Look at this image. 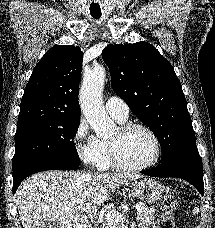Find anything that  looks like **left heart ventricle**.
Instances as JSON below:
<instances>
[{"label":"left heart ventricle","instance_id":"1","mask_svg":"<svg viewBox=\"0 0 215 228\" xmlns=\"http://www.w3.org/2000/svg\"><path fill=\"white\" fill-rule=\"evenodd\" d=\"M117 147L120 160L130 166L146 162L153 154V143L149 135L140 128L121 133L119 129L110 138Z\"/></svg>","mask_w":215,"mask_h":228}]
</instances>
